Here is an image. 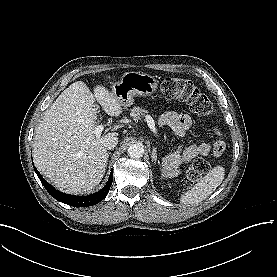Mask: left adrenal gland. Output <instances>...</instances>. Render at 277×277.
<instances>
[{
  "instance_id": "left-adrenal-gland-1",
  "label": "left adrenal gland",
  "mask_w": 277,
  "mask_h": 277,
  "mask_svg": "<svg viewBox=\"0 0 277 277\" xmlns=\"http://www.w3.org/2000/svg\"><path fill=\"white\" fill-rule=\"evenodd\" d=\"M156 158H157L156 150L153 149V152H152V159L156 161Z\"/></svg>"
}]
</instances>
